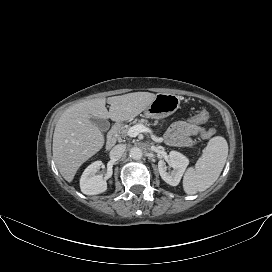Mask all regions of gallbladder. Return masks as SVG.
I'll return each instance as SVG.
<instances>
[{
    "label": "gallbladder",
    "mask_w": 272,
    "mask_h": 272,
    "mask_svg": "<svg viewBox=\"0 0 272 272\" xmlns=\"http://www.w3.org/2000/svg\"><path fill=\"white\" fill-rule=\"evenodd\" d=\"M90 121L91 123H93L94 125H96L101 131H107L110 128V123L103 118H98V117H94V116H90Z\"/></svg>",
    "instance_id": "gallbladder-1"
}]
</instances>
